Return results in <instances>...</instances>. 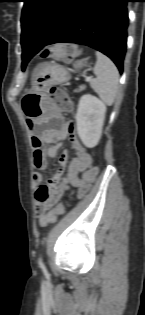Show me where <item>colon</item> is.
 Masks as SVG:
<instances>
[{"mask_svg":"<svg viewBox=\"0 0 145 315\" xmlns=\"http://www.w3.org/2000/svg\"><path fill=\"white\" fill-rule=\"evenodd\" d=\"M78 48L73 44H61L43 51V57H53L64 61H71L78 55ZM50 99L55 106L61 110H70L72 103L68 94L58 88H54L50 92ZM65 209L64 204H58L53 210L49 211L44 220V226L54 223L57 217L63 214Z\"/></svg>","mask_w":145,"mask_h":315,"instance_id":"1","label":"colon"}]
</instances>
